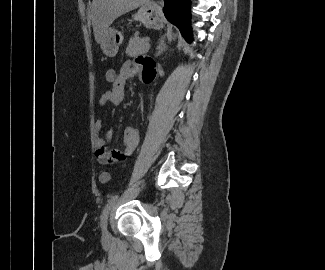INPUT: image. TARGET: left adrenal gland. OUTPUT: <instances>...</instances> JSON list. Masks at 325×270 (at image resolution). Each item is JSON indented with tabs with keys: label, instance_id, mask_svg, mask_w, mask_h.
<instances>
[{
	"label": "left adrenal gland",
	"instance_id": "a2214340",
	"mask_svg": "<svg viewBox=\"0 0 325 270\" xmlns=\"http://www.w3.org/2000/svg\"><path fill=\"white\" fill-rule=\"evenodd\" d=\"M167 49V46L165 44V41H164V37H162L157 45V48H156V54L155 56H159L163 53V51H165Z\"/></svg>",
	"mask_w": 325,
	"mask_h": 270
}]
</instances>
